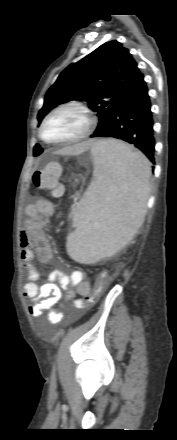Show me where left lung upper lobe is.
Masks as SVG:
<instances>
[{
    "mask_svg": "<svg viewBox=\"0 0 177 440\" xmlns=\"http://www.w3.org/2000/svg\"><path fill=\"white\" fill-rule=\"evenodd\" d=\"M143 74L129 50L116 40L104 43L61 72L44 99L38 121L55 106L70 100H84L97 112L103 126L131 92ZM96 129V130H97ZM43 149L36 144L34 156Z\"/></svg>",
    "mask_w": 177,
    "mask_h": 440,
    "instance_id": "left-lung-upper-lobe-1",
    "label": "left lung upper lobe"
}]
</instances>
